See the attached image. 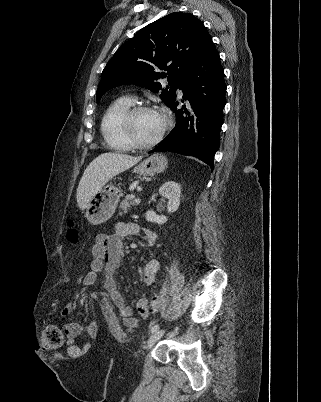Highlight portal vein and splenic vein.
I'll return each mask as SVG.
<instances>
[{"label":"portal vein and splenic vein","mask_w":321,"mask_h":402,"mask_svg":"<svg viewBox=\"0 0 321 402\" xmlns=\"http://www.w3.org/2000/svg\"><path fill=\"white\" fill-rule=\"evenodd\" d=\"M133 198H134V201H135L136 203H140V199H139V198H135L134 196H133Z\"/></svg>","instance_id":"obj_1"}]
</instances>
